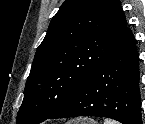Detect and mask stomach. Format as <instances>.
Wrapping results in <instances>:
<instances>
[{"mask_svg": "<svg viewBox=\"0 0 145 124\" xmlns=\"http://www.w3.org/2000/svg\"><path fill=\"white\" fill-rule=\"evenodd\" d=\"M77 124H97V123L92 119H82L81 121H77Z\"/></svg>", "mask_w": 145, "mask_h": 124, "instance_id": "obj_1", "label": "stomach"}]
</instances>
